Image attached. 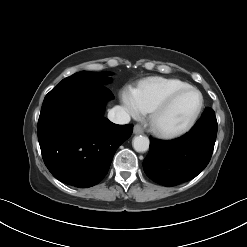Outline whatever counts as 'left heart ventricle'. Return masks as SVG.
Instances as JSON below:
<instances>
[{"instance_id": "obj_1", "label": "left heart ventricle", "mask_w": 247, "mask_h": 247, "mask_svg": "<svg viewBox=\"0 0 247 247\" xmlns=\"http://www.w3.org/2000/svg\"><path fill=\"white\" fill-rule=\"evenodd\" d=\"M199 101V95L195 92L183 94L160 116L159 126L167 130L182 127L196 111Z\"/></svg>"}]
</instances>
